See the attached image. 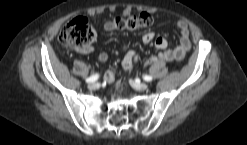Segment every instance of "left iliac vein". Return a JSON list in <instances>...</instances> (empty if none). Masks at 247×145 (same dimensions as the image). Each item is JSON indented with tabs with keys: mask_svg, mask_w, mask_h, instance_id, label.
Returning a JSON list of instances; mask_svg holds the SVG:
<instances>
[{
	"mask_svg": "<svg viewBox=\"0 0 247 145\" xmlns=\"http://www.w3.org/2000/svg\"><path fill=\"white\" fill-rule=\"evenodd\" d=\"M131 85L138 91H144L149 88L147 83L133 82L131 81Z\"/></svg>",
	"mask_w": 247,
	"mask_h": 145,
	"instance_id": "obj_1",
	"label": "left iliac vein"
}]
</instances>
